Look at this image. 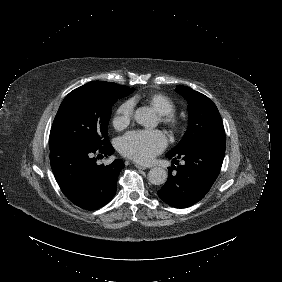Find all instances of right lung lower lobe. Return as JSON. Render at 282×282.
Here are the masks:
<instances>
[{"instance_id":"obj_1","label":"right lung lower lobe","mask_w":282,"mask_h":282,"mask_svg":"<svg viewBox=\"0 0 282 282\" xmlns=\"http://www.w3.org/2000/svg\"><path fill=\"white\" fill-rule=\"evenodd\" d=\"M110 143H68L50 150V163L55 179L64 195L75 205L96 210L106 205L116 193L117 178L124 168L122 160L97 165L94 157L113 154Z\"/></svg>"}]
</instances>
